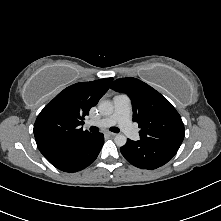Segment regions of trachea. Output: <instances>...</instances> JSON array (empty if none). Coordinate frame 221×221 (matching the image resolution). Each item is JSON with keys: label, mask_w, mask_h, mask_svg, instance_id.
Instances as JSON below:
<instances>
[{"label": "trachea", "mask_w": 221, "mask_h": 221, "mask_svg": "<svg viewBox=\"0 0 221 221\" xmlns=\"http://www.w3.org/2000/svg\"><path fill=\"white\" fill-rule=\"evenodd\" d=\"M90 131L91 132H98L99 131V128L98 127H95V126H91L90 127ZM110 131L114 132V133H119V128L118 127H111L110 128Z\"/></svg>", "instance_id": "1"}]
</instances>
